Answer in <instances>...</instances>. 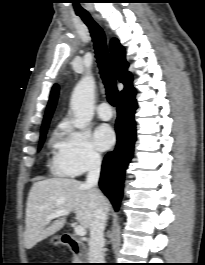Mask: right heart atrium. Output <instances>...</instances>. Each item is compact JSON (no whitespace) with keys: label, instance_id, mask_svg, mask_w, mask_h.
<instances>
[{"label":"right heart atrium","instance_id":"right-heart-atrium-1","mask_svg":"<svg viewBox=\"0 0 205 265\" xmlns=\"http://www.w3.org/2000/svg\"><path fill=\"white\" fill-rule=\"evenodd\" d=\"M53 171L62 176H78L98 167L101 156L96 150L90 133L76 129L69 123L61 126L55 141Z\"/></svg>","mask_w":205,"mask_h":265}]
</instances>
